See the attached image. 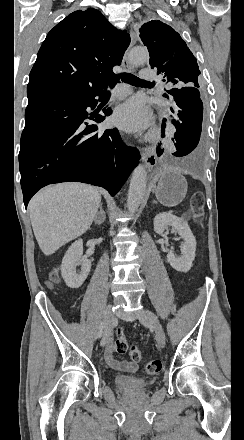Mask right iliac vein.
<instances>
[{"label":"right iliac vein","instance_id":"right-iliac-vein-1","mask_svg":"<svg viewBox=\"0 0 244 440\" xmlns=\"http://www.w3.org/2000/svg\"><path fill=\"white\" fill-rule=\"evenodd\" d=\"M104 321H105V328H104V335L101 340V346H105L108 341L111 339L112 331H113V325H114V316L113 311L110 305H108L104 311Z\"/></svg>","mask_w":244,"mask_h":440}]
</instances>
